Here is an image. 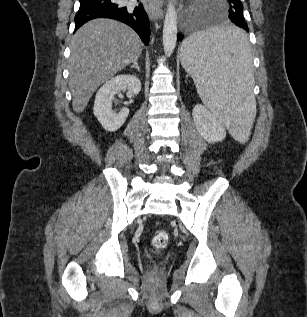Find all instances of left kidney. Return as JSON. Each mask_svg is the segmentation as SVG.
<instances>
[{
	"instance_id": "1",
	"label": "left kidney",
	"mask_w": 307,
	"mask_h": 317,
	"mask_svg": "<svg viewBox=\"0 0 307 317\" xmlns=\"http://www.w3.org/2000/svg\"><path fill=\"white\" fill-rule=\"evenodd\" d=\"M194 123L200 135L209 143L225 139L226 131L222 124L203 105H196L192 111Z\"/></svg>"
}]
</instances>
